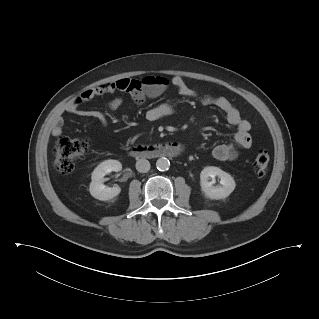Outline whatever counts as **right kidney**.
<instances>
[{"mask_svg":"<svg viewBox=\"0 0 319 319\" xmlns=\"http://www.w3.org/2000/svg\"><path fill=\"white\" fill-rule=\"evenodd\" d=\"M122 169V164L117 160H106L100 163L92 172L90 193L91 195L101 201H107L116 197L120 192L119 186L107 187L103 184L104 176L111 171L119 172Z\"/></svg>","mask_w":319,"mask_h":319,"instance_id":"right-kidney-1","label":"right kidney"}]
</instances>
